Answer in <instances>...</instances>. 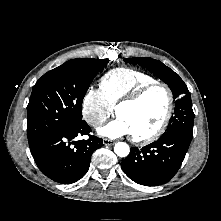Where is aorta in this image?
<instances>
[{"label":"aorta","instance_id":"762f6f07","mask_svg":"<svg viewBox=\"0 0 221 221\" xmlns=\"http://www.w3.org/2000/svg\"><path fill=\"white\" fill-rule=\"evenodd\" d=\"M114 151L119 157H126L128 156L130 149L127 143L118 142L114 146Z\"/></svg>","mask_w":221,"mask_h":221}]
</instances>
